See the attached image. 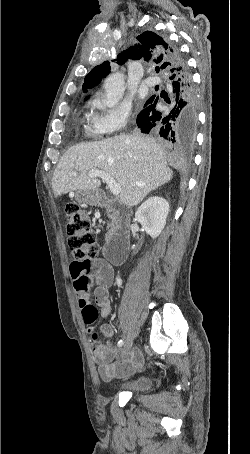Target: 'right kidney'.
Wrapping results in <instances>:
<instances>
[{"mask_svg":"<svg viewBox=\"0 0 250 454\" xmlns=\"http://www.w3.org/2000/svg\"><path fill=\"white\" fill-rule=\"evenodd\" d=\"M169 211V203L164 198L153 196L139 206L135 218L154 239L164 229Z\"/></svg>","mask_w":250,"mask_h":454,"instance_id":"ca27d5eb","label":"right kidney"}]
</instances>
